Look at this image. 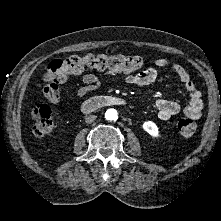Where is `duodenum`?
Instances as JSON below:
<instances>
[{
  "mask_svg": "<svg viewBox=\"0 0 221 221\" xmlns=\"http://www.w3.org/2000/svg\"><path fill=\"white\" fill-rule=\"evenodd\" d=\"M110 105H128V102L118 96H98L86 100L83 104V109L89 113Z\"/></svg>",
  "mask_w": 221,
  "mask_h": 221,
  "instance_id": "obj_1",
  "label": "duodenum"
}]
</instances>
